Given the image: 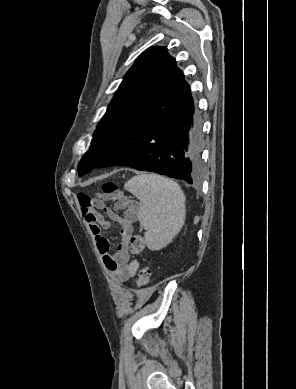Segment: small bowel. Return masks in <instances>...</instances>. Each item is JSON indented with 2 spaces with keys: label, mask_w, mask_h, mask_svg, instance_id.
<instances>
[{
  "label": "small bowel",
  "mask_w": 296,
  "mask_h": 389,
  "mask_svg": "<svg viewBox=\"0 0 296 389\" xmlns=\"http://www.w3.org/2000/svg\"><path fill=\"white\" fill-rule=\"evenodd\" d=\"M78 201L81 214L95 237L97 249L105 268L118 282L130 280L138 268V263L130 260L128 251L132 222L137 216L138 206L126 198H123L119 203H111L108 206L105 199H92L85 194H80ZM98 210H102L104 215ZM119 211H123V215H120ZM112 222L119 225L121 238L114 253H111L110 242L103 235V231L109 229Z\"/></svg>",
  "instance_id": "obj_1"
}]
</instances>
